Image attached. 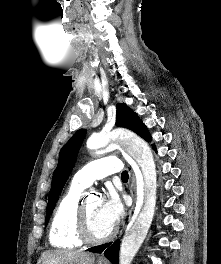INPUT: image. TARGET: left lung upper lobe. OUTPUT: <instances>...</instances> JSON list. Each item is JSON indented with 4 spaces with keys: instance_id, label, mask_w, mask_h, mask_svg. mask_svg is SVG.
Listing matches in <instances>:
<instances>
[{
    "instance_id": "obj_1",
    "label": "left lung upper lobe",
    "mask_w": 221,
    "mask_h": 264,
    "mask_svg": "<svg viewBox=\"0 0 221 264\" xmlns=\"http://www.w3.org/2000/svg\"><path fill=\"white\" fill-rule=\"evenodd\" d=\"M116 125L128 128L146 141H151V136L147 127L140 120L138 115L130 109L125 103L117 104ZM86 129L78 130L72 138L62 147L58 166L53 173L51 190L48 196V205L46 209V224L56 205L57 199L74 167L78 151L85 138ZM154 146V145H153Z\"/></svg>"
}]
</instances>
